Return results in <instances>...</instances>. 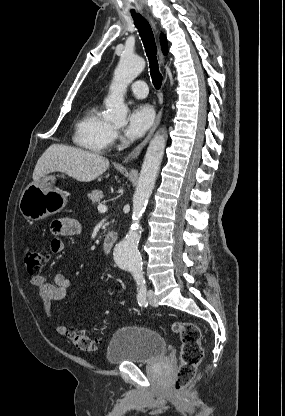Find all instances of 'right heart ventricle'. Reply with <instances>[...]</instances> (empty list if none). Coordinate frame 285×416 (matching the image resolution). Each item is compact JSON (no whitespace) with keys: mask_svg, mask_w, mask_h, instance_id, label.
<instances>
[{"mask_svg":"<svg viewBox=\"0 0 285 416\" xmlns=\"http://www.w3.org/2000/svg\"><path fill=\"white\" fill-rule=\"evenodd\" d=\"M111 125L101 116L97 105L85 109L76 123L74 143L83 150L100 154L109 146Z\"/></svg>","mask_w":285,"mask_h":416,"instance_id":"right-heart-ventricle-1","label":"right heart ventricle"}]
</instances>
